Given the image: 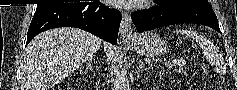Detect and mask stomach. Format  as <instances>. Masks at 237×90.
Instances as JSON below:
<instances>
[{
	"label": "stomach",
	"instance_id": "1",
	"mask_svg": "<svg viewBox=\"0 0 237 90\" xmlns=\"http://www.w3.org/2000/svg\"><path fill=\"white\" fill-rule=\"evenodd\" d=\"M131 47L142 56H158L168 51V43L158 34L146 32L130 42Z\"/></svg>",
	"mask_w": 237,
	"mask_h": 90
}]
</instances>
